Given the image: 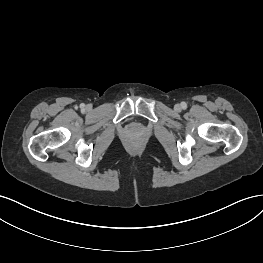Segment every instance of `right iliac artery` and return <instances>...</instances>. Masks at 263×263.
<instances>
[{
  "label": "right iliac artery",
  "instance_id": "obj_1",
  "mask_svg": "<svg viewBox=\"0 0 263 263\" xmlns=\"http://www.w3.org/2000/svg\"><path fill=\"white\" fill-rule=\"evenodd\" d=\"M84 106H85L84 104H81V108H84Z\"/></svg>",
  "mask_w": 263,
  "mask_h": 263
}]
</instances>
